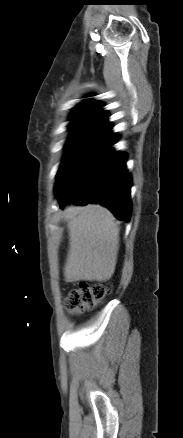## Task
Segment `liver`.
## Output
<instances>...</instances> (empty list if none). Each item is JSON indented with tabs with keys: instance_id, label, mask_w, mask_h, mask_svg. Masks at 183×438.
<instances>
[{
	"instance_id": "liver-1",
	"label": "liver",
	"mask_w": 183,
	"mask_h": 438,
	"mask_svg": "<svg viewBox=\"0 0 183 438\" xmlns=\"http://www.w3.org/2000/svg\"><path fill=\"white\" fill-rule=\"evenodd\" d=\"M69 251L66 282L108 281L116 267L119 227L113 214L100 205L67 206Z\"/></svg>"
}]
</instances>
